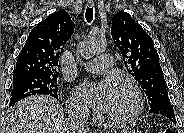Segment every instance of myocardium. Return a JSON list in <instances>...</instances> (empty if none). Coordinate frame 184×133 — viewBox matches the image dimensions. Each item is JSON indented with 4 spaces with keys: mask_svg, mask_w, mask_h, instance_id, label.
I'll return each mask as SVG.
<instances>
[{
    "mask_svg": "<svg viewBox=\"0 0 184 133\" xmlns=\"http://www.w3.org/2000/svg\"><path fill=\"white\" fill-rule=\"evenodd\" d=\"M119 90L128 92L133 99V107L130 112L122 117L106 116V119L116 125H127L135 121L143 110V97L138 86L133 82H125L118 86Z\"/></svg>",
    "mask_w": 184,
    "mask_h": 133,
    "instance_id": "1",
    "label": "myocardium"
}]
</instances>
